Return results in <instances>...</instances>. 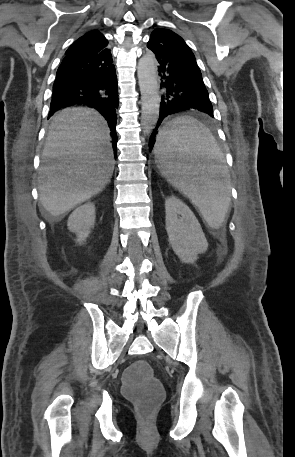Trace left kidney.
<instances>
[{
  "mask_svg": "<svg viewBox=\"0 0 295 457\" xmlns=\"http://www.w3.org/2000/svg\"><path fill=\"white\" fill-rule=\"evenodd\" d=\"M165 210L166 230L173 251L182 262L194 263L198 254L208 247L200 223L190 208L174 196L165 200Z\"/></svg>",
  "mask_w": 295,
  "mask_h": 457,
  "instance_id": "left-kidney-1",
  "label": "left kidney"
}]
</instances>
